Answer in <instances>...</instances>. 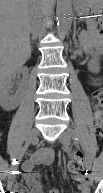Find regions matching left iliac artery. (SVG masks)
<instances>
[{"label": "left iliac artery", "instance_id": "1", "mask_svg": "<svg viewBox=\"0 0 103 193\" xmlns=\"http://www.w3.org/2000/svg\"><path fill=\"white\" fill-rule=\"evenodd\" d=\"M70 136L75 140V142H78L77 134L74 130H69ZM85 167L88 171V173H92L91 171V159L88 155L85 156Z\"/></svg>", "mask_w": 103, "mask_h": 193}]
</instances>
